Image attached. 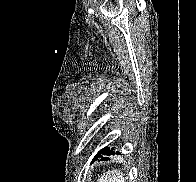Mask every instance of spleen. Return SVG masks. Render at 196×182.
<instances>
[{
    "label": "spleen",
    "mask_w": 196,
    "mask_h": 182,
    "mask_svg": "<svg viewBox=\"0 0 196 182\" xmlns=\"http://www.w3.org/2000/svg\"><path fill=\"white\" fill-rule=\"evenodd\" d=\"M97 182H126L120 170H111L103 174Z\"/></svg>",
    "instance_id": "spleen-1"
}]
</instances>
